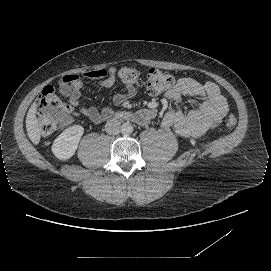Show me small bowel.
<instances>
[{
    "label": "small bowel",
    "instance_id": "small-bowel-1",
    "mask_svg": "<svg viewBox=\"0 0 271 271\" xmlns=\"http://www.w3.org/2000/svg\"><path fill=\"white\" fill-rule=\"evenodd\" d=\"M83 77L93 79L103 88H110L116 82V69H98L86 72ZM77 74H69L62 78L61 84L68 88V101L72 106L80 104L83 78ZM125 92L113 97L115 105H121L136 94V89L125 85ZM189 96L188 109L182 105V97ZM168 109L161 119V126L173 128L183 137H200L209 130L218 127L228 111V104L217 84L200 83L192 78H180L165 93ZM81 113L95 124H101L112 115L109 107L98 110L95 107H81ZM155 116L153 110H141L137 114L140 123H147Z\"/></svg>",
    "mask_w": 271,
    "mask_h": 271
}]
</instances>
